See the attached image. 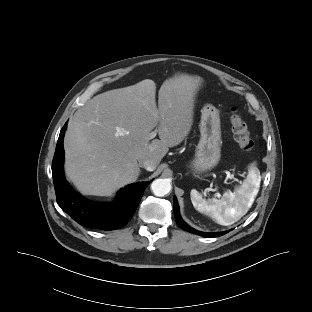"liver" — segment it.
Listing matches in <instances>:
<instances>
[{"label":"liver","instance_id":"6515ba94","mask_svg":"<svg viewBox=\"0 0 312 312\" xmlns=\"http://www.w3.org/2000/svg\"><path fill=\"white\" fill-rule=\"evenodd\" d=\"M202 82L187 74L165 80L158 108L156 84L150 79L93 97L68 123L64 149L69 178L84 194L108 196L138 178L139 159L158 165L189 134ZM155 127L160 140L149 142Z\"/></svg>","mask_w":312,"mask_h":312}]
</instances>
